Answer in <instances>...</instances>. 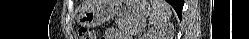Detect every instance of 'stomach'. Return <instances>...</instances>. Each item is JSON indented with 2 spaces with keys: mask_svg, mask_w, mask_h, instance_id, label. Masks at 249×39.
<instances>
[{
  "mask_svg": "<svg viewBox=\"0 0 249 39\" xmlns=\"http://www.w3.org/2000/svg\"><path fill=\"white\" fill-rule=\"evenodd\" d=\"M147 0H99L91 7L83 10L78 17L82 26L95 28L114 17L130 18L141 22L150 14Z\"/></svg>",
  "mask_w": 249,
  "mask_h": 39,
  "instance_id": "1",
  "label": "stomach"
}]
</instances>
